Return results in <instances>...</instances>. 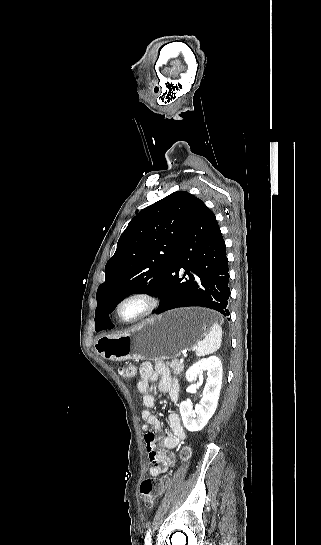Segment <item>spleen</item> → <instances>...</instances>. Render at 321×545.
Here are the masks:
<instances>
[{
	"instance_id": "1",
	"label": "spleen",
	"mask_w": 321,
	"mask_h": 545,
	"mask_svg": "<svg viewBox=\"0 0 321 545\" xmlns=\"http://www.w3.org/2000/svg\"><path fill=\"white\" fill-rule=\"evenodd\" d=\"M222 335V327L218 323H213L207 337L200 341L198 347H196L197 357H205V355L216 353L221 347Z\"/></svg>"
}]
</instances>
